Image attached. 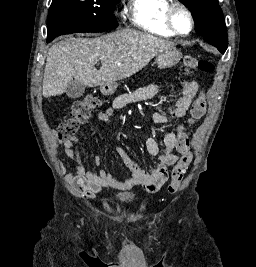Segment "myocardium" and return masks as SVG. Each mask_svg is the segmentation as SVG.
Here are the masks:
<instances>
[{
    "label": "myocardium",
    "instance_id": "myocardium-1",
    "mask_svg": "<svg viewBox=\"0 0 256 267\" xmlns=\"http://www.w3.org/2000/svg\"><path fill=\"white\" fill-rule=\"evenodd\" d=\"M175 8L183 11L188 17L189 23H190V27H189V30L187 32H181L176 26L175 20H174V16H173V12H174ZM166 20L168 22V25L172 29V31L176 35H179V36H188V35H190L191 32L193 31L194 25H195L194 17L192 15L191 11L186 6H184L182 3H179V2H176L172 8L168 9L167 14H166Z\"/></svg>",
    "mask_w": 256,
    "mask_h": 267
}]
</instances>
